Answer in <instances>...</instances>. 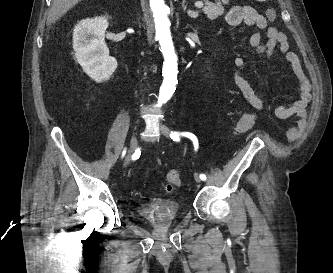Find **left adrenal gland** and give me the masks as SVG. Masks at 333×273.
<instances>
[{"mask_svg": "<svg viewBox=\"0 0 333 273\" xmlns=\"http://www.w3.org/2000/svg\"><path fill=\"white\" fill-rule=\"evenodd\" d=\"M185 3H186V0H183L182 1V8H183V10L184 11H186V5H185ZM187 14H188V16H190L191 18H197L198 17V11H192V10H187Z\"/></svg>", "mask_w": 333, "mask_h": 273, "instance_id": "obj_1", "label": "left adrenal gland"}]
</instances>
